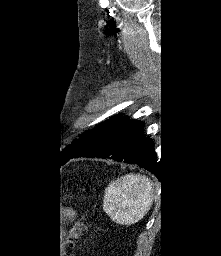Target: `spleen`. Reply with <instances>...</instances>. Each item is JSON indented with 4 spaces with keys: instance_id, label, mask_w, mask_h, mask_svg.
Here are the masks:
<instances>
[{
    "instance_id": "3e777b00",
    "label": "spleen",
    "mask_w": 221,
    "mask_h": 256,
    "mask_svg": "<svg viewBox=\"0 0 221 256\" xmlns=\"http://www.w3.org/2000/svg\"><path fill=\"white\" fill-rule=\"evenodd\" d=\"M154 200V185L140 174H127L113 181L105 190L103 210L112 221L130 225L149 211Z\"/></svg>"
}]
</instances>
